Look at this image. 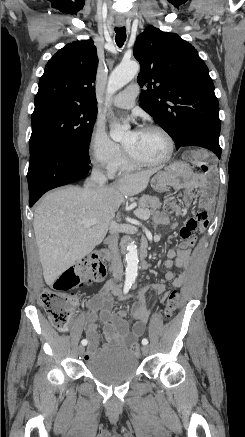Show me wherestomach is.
<instances>
[{
	"label": "stomach",
	"instance_id": "obj_1",
	"mask_svg": "<svg viewBox=\"0 0 245 437\" xmlns=\"http://www.w3.org/2000/svg\"><path fill=\"white\" fill-rule=\"evenodd\" d=\"M192 176V169L187 163L176 162L159 170L152 178L151 185L159 193L168 191L170 187L183 189L191 185Z\"/></svg>",
	"mask_w": 245,
	"mask_h": 437
}]
</instances>
